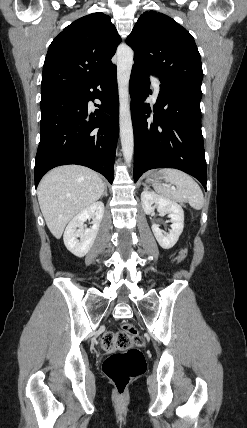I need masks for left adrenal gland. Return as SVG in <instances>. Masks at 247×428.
Wrapping results in <instances>:
<instances>
[{"instance_id":"left-adrenal-gland-1","label":"left adrenal gland","mask_w":247,"mask_h":428,"mask_svg":"<svg viewBox=\"0 0 247 428\" xmlns=\"http://www.w3.org/2000/svg\"><path fill=\"white\" fill-rule=\"evenodd\" d=\"M143 186L145 187V189H149V186L146 183H143Z\"/></svg>"}]
</instances>
